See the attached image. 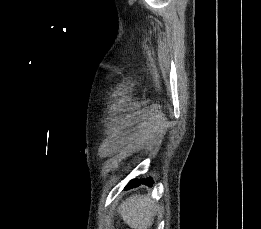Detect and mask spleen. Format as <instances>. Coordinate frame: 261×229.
Listing matches in <instances>:
<instances>
[{"instance_id": "3e777b00", "label": "spleen", "mask_w": 261, "mask_h": 229, "mask_svg": "<svg viewBox=\"0 0 261 229\" xmlns=\"http://www.w3.org/2000/svg\"><path fill=\"white\" fill-rule=\"evenodd\" d=\"M158 211L154 201L143 195H131L118 207V213L130 229H150L154 213Z\"/></svg>"}]
</instances>
